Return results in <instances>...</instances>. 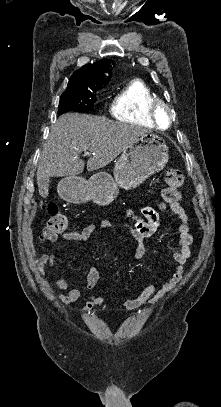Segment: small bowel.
<instances>
[{"label":"small bowel","mask_w":221,"mask_h":407,"mask_svg":"<svg viewBox=\"0 0 221 407\" xmlns=\"http://www.w3.org/2000/svg\"><path fill=\"white\" fill-rule=\"evenodd\" d=\"M171 211L178 217L179 222L175 225L178 233V247L172 249L171 258L175 263V268L172 274L166 275L164 280L158 287L157 282H153L145 287L140 294L133 299H127L123 302V306L128 310H135L150 306L166 294L172 291L184 278L185 265L192 255L193 237L190 234L188 216L185 208L177 203L170 206ZM142 217L133 210L128 209L126 215L128 222L123 224V228L137 242L134 247V257L141 259L145 255V247L143 240L153 236L160 224V218L156 211L149 206L143 205L141 208ZM111 229V225L107 220H99L85 225L81 230L76 232L65 233L62 239L65 241H74L84 243L98 229ZM36 267L41 276L45 274V269L52 270L56 267V254L49 253L42 255L36 262ZM99 281V271L97 267L91 266L86 274V287L92 291ZM53 284L64 291L56 295L57 302L62 306H67L79 300L81 292L78 288L72 286L66 279L57 276L54 273ZM120 292H109L105 295L90 294L87 302L79 310V313L86 314L93 308L100 306L105 300H114L120 297Z\"/></svg>","instance_id":"c3829d8e"}]
</instances>
